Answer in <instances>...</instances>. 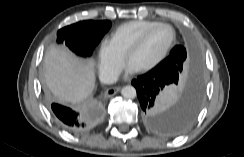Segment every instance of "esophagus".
<instances>
[{"label": "esophagus", "instance_id": "obj_1", "mask_svg": "<svg viewBox=\"0 0 244 157\" xmlns=\"http://www.w3.org/2000/svg\"><path fill=\"white\" fill-rule=\"evenodd\" d=\"M120 89H121V87L108 88L105 92V96L106 97H112V96L116 95L120 91Z\"/></svg>", "mask_w": 244, "mask_h": 157}]
</instances>
